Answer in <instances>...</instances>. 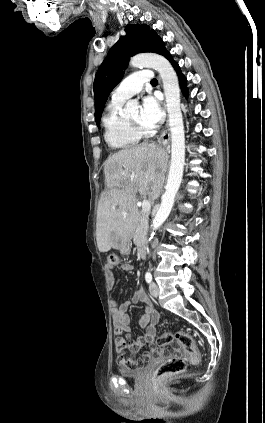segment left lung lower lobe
I'll list each match as a JSON object with an SVG mask.
<instances>
[{
    "mask_svg": "<svg viewBox=\"0 0 265 423\" xmlns=\"http://www.w3.org/2000/svg\"><path fill=\"white\" fill-rule=\"evenodd\" d=\"M163 56H165L172 63L174 69L177 71V74H178L179 80H180L182 92L185 96H187L186 78L181 73L178 64L171 58V55L168 52H165V54Z\"/></svg>",
    "mask_w": 265,
    "mask_h": 423,
    "instance_id": "1",
    "label": "left lung lower lobe"
}]
</instances>
